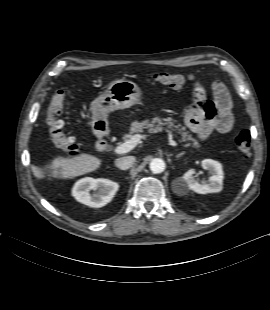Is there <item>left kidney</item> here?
I'll list each match as a JSON object with an SVG mask.
<instances>
[{
  "mask_svg": "<svg viewBox=\"0 0 270 310\" xmlns=\"http://www.w3.org/2000/svg\"><path fill=\"white\" fill-rule=\"evenodd\" d=\"M203 169L209 172V182L200 184L195 178L196 173L194 169H190L185 172L182 176L183 185L198 193V194H208V193H218L223 189V178L224 173L221 163L212 159H204L201 162Z\"/></svg>",
  "mask_w": 270,
  "mask_h": 310,
  "instance_id": "1",
  "label": "left kidney"
}]
</instances>
